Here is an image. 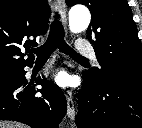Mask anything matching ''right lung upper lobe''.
<instances>
[{
    "label": "right lung upper lobe",
    "mask_w": 142,
    "mask_h": 128,
    "mask_svg": "<svg viewBox=\"0 0 142 128\" xmlns=\"http://www.w3.org/2000/svg\"><path fill=\"white\" fill-rule=\"evenodd\" d=\"M49 16L46 0H0V74L33 64L34 56L25 60L21 49L37 46L35 38L47 32Z\"/></svg>",
    "instance_id": "1"
}]
</instances>
